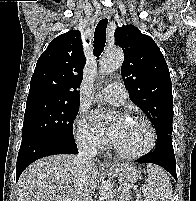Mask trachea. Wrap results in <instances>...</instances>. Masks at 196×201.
I'll use <instances>...</instances> for the list:
<instances>
[{"label": "trachea", "mask_w": 196, "mask_h": 201, "mask_svg": "<svg viewBox=\"0 0 196 201\" xmlns=\"http://www.w3.org/2000/svg\"><path fill=\"white\" fill-rule=\"evenodd\" d=\"M107 23L106 18L100 20L94 32V55L96 57H99L105 47Z\"/></svg>", "instance_id": "1"}]
</instances>
